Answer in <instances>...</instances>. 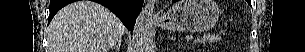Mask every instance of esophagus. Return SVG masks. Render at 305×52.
Segmentation results:
<instances>
[{
    "label": "esophagus",
    "instance_id": "1",
    "mask_svg": "<svg viewBox=\"0 0 305 52\" xmlns=\"http://www.w3.org/2000/svg\"><path fill=\"white\" fill-rule=\"evenodd\" d=\"M150 2H151L152 4H154L155 1H154V0H150Z\"/></svg>",
    "mask_w": 305,
    "mask_h": 52
}]
</instances>
